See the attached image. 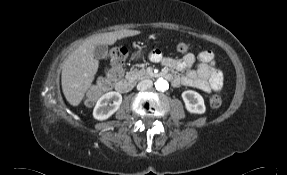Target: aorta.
Listing matches in <instances>:
<instances>
[{"label": "aorta", "instance_id": "aorta-1", "mask_svg": "<svg viewBox=\"0 0 287 175\" xmlns=\"http://www.w3.org/2000/svg\"><path fill=\"white\" fill-rule=\"evenodd\" d=\"M168 88H169V84L165 79L160 78L156 81V89L157 90L164 92Z\"/></svg>", "mask_w": 287, "mask_h": 175}]
</instances>
